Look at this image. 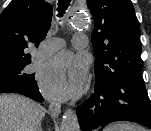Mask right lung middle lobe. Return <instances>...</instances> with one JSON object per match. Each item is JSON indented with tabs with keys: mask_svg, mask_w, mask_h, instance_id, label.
<instances>
[{
	"mask_svg": "<svg viewBox=\"0 0 151 131\" xmlns=\"http://www.w3.org/2000/svg\"><path fill=\"white\" fill-rule=\"evenodd\" d=\"M30 63L31 58L0 56V78H4V81L11 83L33 77L34 74H30L24 70L25 66Z\"/></svg>",
	"mask_w": 151,
	"mask_h": 131,
	"instance_id": "obj_1",
	"label": "right lung middle lobe"
}]
</instances>
